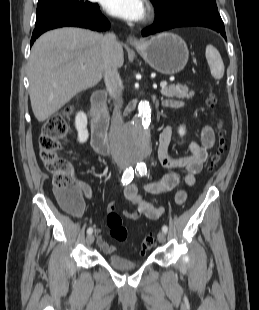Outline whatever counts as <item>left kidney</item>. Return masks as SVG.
<instances>
[{
	"instance_id": "left-kidney-1",
	"label": "left kidney",
	"mask_w": 259,
	"mask_h": 310,
	"mask_svg": "<svg viewBox=\"0 0 259 310\" xmlns=\"http://www.w3.org/2000/svg\"><path fill=\"white\" fill-rule=\"evenodd\" d=\"M178 132H179L180 136H183L185 134V128L184 127H180Z\"/></svg>"
}]
</instances>
